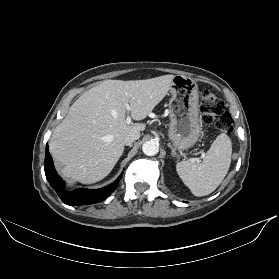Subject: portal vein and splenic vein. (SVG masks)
<instances>
[{
  "label": "portal vein and splenic vein",
  "mask_w": 279,
  "mask_h": 279,
  "mask_svg": "<svg viewBox=\"0 0 279 279\" xmlns=\"http://www.w3.org/2000/svg\"><path fill=\"white\" fill-rule=\"evenodd\" d=\"M126 108H127V111L130 112V106H129L128 104H126ZM126 123H127V124H130V123H131V117H130V116H128V117L126 118Z\"/></svg>",
  "instance_id": "1"
}]
</instances>
